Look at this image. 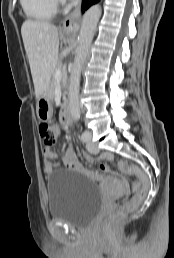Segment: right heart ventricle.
<instances>
[{
  "instance_id": "e07e8e85",
  "label": "right heart ventricle",
  "mask_w": 174,
  "mask_h": 258,
  "mask_svg": "<svg viewBox=\"0 0 174 258\" xmlns=\"http://www.w3.org/2000/svg\"><path fill=\"white\" fill-rule=\"evenodd\" d=\"M24 14L31 20L48 21L56 13V0H20Z\"/></svg>"
}]
</instances>
